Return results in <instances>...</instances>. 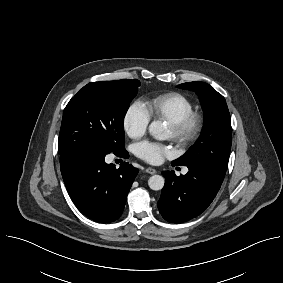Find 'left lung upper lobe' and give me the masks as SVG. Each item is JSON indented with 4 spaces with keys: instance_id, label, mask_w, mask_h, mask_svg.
I'll return each instance as SVG.
<instances>
[{
    "instance_id": "1",
    "label": "left lung upper lobe",
    "mask_w": 283,
    "mask_h": 283,
    "mask_svg": "<svg viewBox=\"0 0 283 283\" xmlns=\"http://www.w3.org/2000/svg\"><path fill=\"white\" fill-rule=\"evenodd\" d=\"M179 87L193 90L199 96L205 125L195 145L173 163L201 168L224 179L232 142L230 113L226 101L204 82H187Z\"/></svg>"
}]
</instances>
